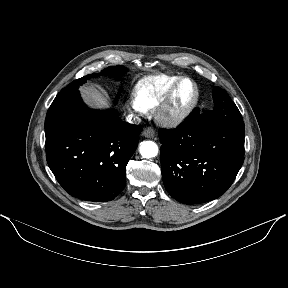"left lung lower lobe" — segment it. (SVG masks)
Segmentation results:
<instances>
[{"instance_id":"1","label":"left lung lower lobe","mask_w":288,"mask_h":288,"mask_svg":"<svg viewBox=\"0 0 288 288\" xmlns=\"http://www.w3.org/2000/svg\"><path fill=\"white\" fill-rule=\"evenodd\" d=\"M244 132L207 121L196 110L176 129H160L161 172L168 193L184 204L223 195L244 161Z\"/></svg>"}]
</instances>
